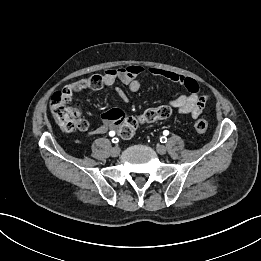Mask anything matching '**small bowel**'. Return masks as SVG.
Listing matches in <instances>:
<instances>
[{
	"instance_id": "c3829d8e",
	"label": "small bowel",
	"mask_w": 261,
	"mask_h": 261,
	"mask_svg": "<svg viewBox=\"0 0 261 261\" xmlns=\"http://www.w3.org/2000/svg\"><path fill=\"white\" fill-rule=\"evenodd\" d=\"M143 72L144 68L141 65L130 64L121 68L108 69L103 74L83 79L86 81L85 88L92 90H98L104 86H111L116 81H119L128 86L130 91L136 92L141 87V82L138 77ZM149 72L154 76L166 78L172 82L178 83L187 89V94L180 95L169 101L170 106L175 108L179 114H188L192 118H197L202 113L208 97L206 95H200L199 86L194 79L170 70L155 67L150 68ZM116 92L122 100H126V94L121 88H116ZM111 110L122 112L119 109ZM111 110L103 114L104 124L93 130L91 134L98 135L106 133L108 130L119 129L118 124L107 117V114Z\"/></svg>"
}]
</instances>
